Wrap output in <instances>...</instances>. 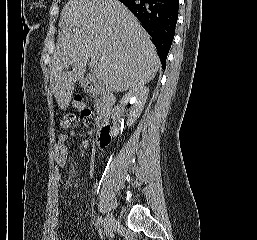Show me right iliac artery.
<instances>
[{
  "label": "right iliac artery",
  "mask_w": 257,
  "mask_h": 240,
  "mask_svg": "<svg viewBox=\"0 0 257 240\" xmlns=\"http://www.w3.org/2000/svg\"><path fill=\"white\" fill-rule=\"evenodd\" d=\"M102 222H103L102 217H101V216H98V217L96 218V225H97V227H100L101 224H102Z\"/></svg>",
  "instance_id": "obj_1"
}]
</instances>
